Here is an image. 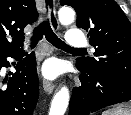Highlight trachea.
<instances>
[{"label": "trachea", "mask_w": 131, "mask_h": 115, "mask_svg": "<svg viewBox=\"0 0 131 115\" xmlns=\"http://www.w3.org/2000/svg\"><path fill=\"white\" fill-rule=\"evenodd\" d=\"M43 35H45L46 39L55 47L60 49H68V50H79L85 51L82 48H73L68 46L64 41L57 37V35L53 32L49 20H45L40 23L35 29L33 36L31 38V47H35L37 42L42 39Z\"/></svg>", "instance_id": "3493384b"}]
</instances>
